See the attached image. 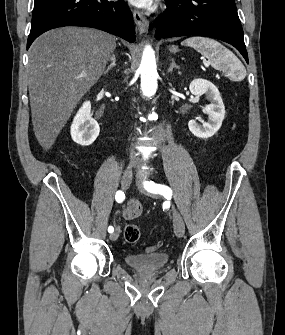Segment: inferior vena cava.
Here are the masks:
<instances>
[{
    "mask_svg": "<svg viewBox=\"0 0 285 335\" xmlns=\"http://www.w3.org/2000/svg\"><path fill=\"white\" fill-rule=\"evenodd\" d=\"M130 160H131V162H133V164H136V162H137V158H135V152H133V150L131 152Z\"/></svg>",
    "mask_w": 285,
    "mask_h": 335,
    "instance_id": "obj_1",
    "label": "inferior vena cava"
}]
</instances>
